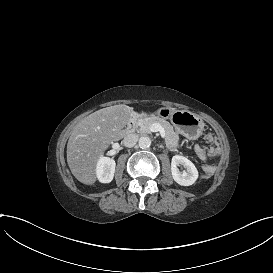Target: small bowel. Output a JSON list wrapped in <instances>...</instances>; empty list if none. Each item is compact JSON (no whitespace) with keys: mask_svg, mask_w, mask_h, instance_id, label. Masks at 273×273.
Masks as SVG:
<instances>
[{"mask_svg":"<svg viewBox=\"0 0 273 273\" xmlns=\"http://www.w3.org/2000/svg\"><path fill=\"white\" fill-rule=\"evenodd\" d=\"M205 137L207 142L210 145V151L212 153H217L219 151V144L218 140L216 139L215 133L212 130H207L205 132ZM197 155L201 157L202 159H207L209 157V152L205 147H200L197 150Z\"/></svg>","mask_w":273,"mask_h":273,"instance_id":"obj_1","label":"small bowel"}]
</instances>
